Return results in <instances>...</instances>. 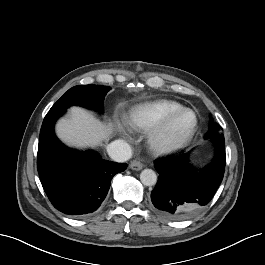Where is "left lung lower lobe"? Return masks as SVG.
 <instances>
[{
    "instance_id": "1",
    "label": "left lung lower lobe",
    "mask_w": 265,
    "mask_h": 265,
    "mask_svg": "<svg viewBox=\"0 0 265 265\" xmlns=\"http://www.w3.org/2000/svg\"><path fill=\"white\" fill-rule=\"evenodd\" d=\"M216 151L213 161L202 170L188 162V153L155 164L159 180L151 193L158 213L170 220H184L200 213L212 200L225 171V142L212 138Z\"/></svg>"
}]
</instances>
